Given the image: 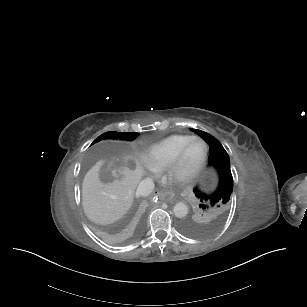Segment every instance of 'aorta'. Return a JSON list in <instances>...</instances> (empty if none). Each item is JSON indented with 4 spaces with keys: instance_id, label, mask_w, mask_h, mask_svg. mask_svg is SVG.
I'll use <instances>...</instances> for the list:
<instances>
[{
    "instance_id": "aorta-1",
    "label": "aorta",
    "mask_w": 307,
    "mask_h": 307,
    "mask_svg": "<svg viewBox=\"0 0 307 307\" xmlns=\"http://www.w3.org/2000/svg\"><path fill=\"white\" fill-rule=\"evenodd\" d=\"M173 212L177 218H184L188 214V207L183 202H178L175 204Z\"/></svg>"
}]
</instances>
